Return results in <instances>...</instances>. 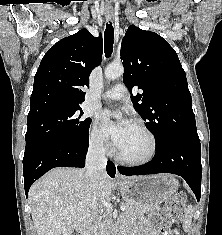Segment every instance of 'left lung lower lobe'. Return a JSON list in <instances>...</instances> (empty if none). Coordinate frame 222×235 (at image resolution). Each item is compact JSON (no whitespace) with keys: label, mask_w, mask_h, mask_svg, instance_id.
Listing matches in <instances>:
<instances>
[{"label":"left lung lower lobe","mask_w":222,"mask_h":235,"mask_svg":"<svg viewBox=\"0 0 222 235\" xmlns=\"http://www.w3.org/2000/svg\"><path fill=\"white\" fill-rule=\"evenodd\" d=\"M123 175L171 173L183 177L197 200L201 196V144L200 141L175 138L159 147L151 162L138 167H118Z\"/></svg>","instance_id":"obj_1"}]
</instances>
